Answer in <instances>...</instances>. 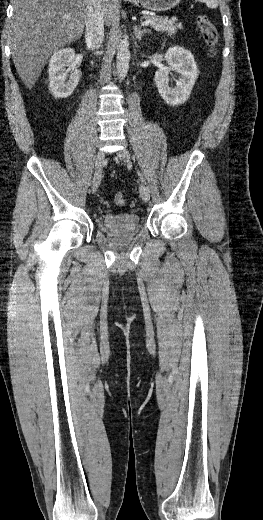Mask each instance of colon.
Listing matches in <instances>:
<instances>
[{
	"label": "colon",
	"instance_id": "obj_1",
	"mask_svg": "<svg viewBox=\"0 0 263 520\" xmlns=\"http://www.w3.org/2000/svg\"><path fill=\"white\" fill-rule=\"evenodd\" d=\"M196 26L208 48L209 55L214 56L219 45V32L217 27L206 15H198L196 17ZM114 200L118 206H123L126 203V196L123 192H118Z\"/></svg>",
	"mask_w": 263,
	"mask_h": 520
}]
</instances>
